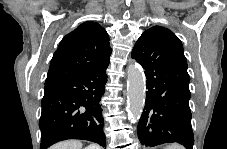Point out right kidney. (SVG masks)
I'll return each instance as SVG.
<instances>
[{
    "label": "right kidney",
    "instance_id": "ca27d5eb",
    "mask_svg": "<svg viewBox=\"0 0 227 149\" xmlns=\"http://www.w3.org/2000/svg\"><path fill=\"white\" fill-rule=\"evenodd\" d=\"M85 149H96L95 145H89L88 147H86Z\"/></svg>",
    "mask_w": 227,
    "mask_h": 149
}]
</instances>
